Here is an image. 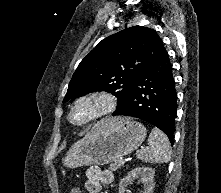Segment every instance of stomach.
<instances>
[{"label":"stomach","instance_id":"1","mask_svg":"<svg viewBox=\"0 0 221 193\" xmlns=\"http://www.w3.org/2000/svg\"><path fill=\"white\" fill-rule=\"evenodd\" d=\"M146 138V128L140 122L123 119L107 124L101 120L62 159L68 168L105 165L136 150Z\"/></svg>","mask_w":221,"mask_h":193}]
</instances>
